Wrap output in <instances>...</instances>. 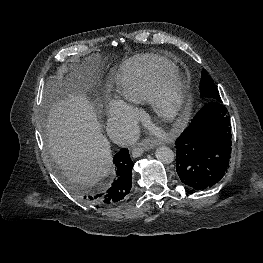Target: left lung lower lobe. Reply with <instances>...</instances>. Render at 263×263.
Here are the masks:
<instances>
[{
  "instance_id": "0a47b994",
  "label": "left lung lower lobe",
  "mask_w": 263,
  "mask_h": 263,
  "mask_svg": "<svg viewBox=\"0 0 263 263\" xmlns=\"http://www.w3.org/2000/svg\"><path fill=\"white\" fill-rule=\"evenodd\" d=\"M227 108L211 101L201 108L175 141L176 171L183 184L205 190L225 175L231 157Z\"/></svg>"
}]
</instances>
